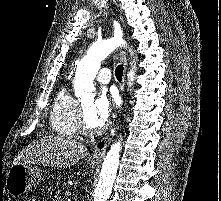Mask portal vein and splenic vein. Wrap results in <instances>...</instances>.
<instances>
[{
	"label": "portal vein and splenic vein",
	"instance_id": "18ae733b",
	"mask_svg": "<svg viewBox=\"0 0 221 201\" xmlns=\"http://www.w3.org/2000/svg\"><path fill=\"white\" fill-rule=\"evenodd\" d=\"M66 195H67V196H71V192L67 191V192H66Z\"/></svg>",
	"mask_w": 221,
	"mask_h": 201
}]
</instances>
